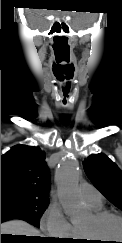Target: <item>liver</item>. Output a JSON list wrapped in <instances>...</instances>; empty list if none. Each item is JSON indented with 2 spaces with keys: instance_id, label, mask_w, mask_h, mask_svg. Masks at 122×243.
I'll return each instance as SVG.
<instances>
[{
  "instance_id": "obj_1",
  "label": "liver",
  "mask_w": 122,
  "mask_h": 243,
  "mask_svg": "<svg viewBox=\"0 0 122 243\" xmlns=\"http://www.w3.org/2000/svg\"><path fill=\"white\" fill-rule=\"evenodd\" d=\"M1 234L42 237L41 233L36 228L22 220H11L2 223Z\"/></svg>"
}]
</instances>
